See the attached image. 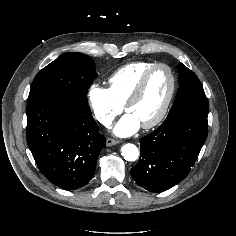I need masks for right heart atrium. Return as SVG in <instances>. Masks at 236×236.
Here are the masks:
<instances>
[{
    "mask_svg": "<svg viewBox=\"0 0 236 236\" xmlns=\"http://www.w3.org/2000/svg\"><path fill=\"white\" fill-rule=\"evenodd\" d=\"M87 97L94 118L103 126H109L123 110V105L113 97L109 88L97 83L89 87Z\"/></svg>",
    "mask_w": 236,
    "mask_h": 236,
    "instance_id": "right-heart-atrium-1",
    "label": "right heart atrium"
}]
</instances>
